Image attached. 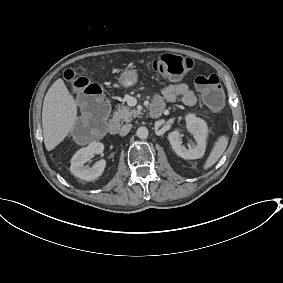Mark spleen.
I'll return each instance as SVG.
<instances>
[{"mask_svg": "<svg viewBox=\"0 0 283 283\" xmlns=\"http://www.w3.org/2000/svg\"><path fill=\"white\" fill-rule=\"evenodd\" d=\"M228 145V138L226 136H221L218 138V140L215 142L214 147L209 155V157L206 160V163L204 165V169L210 168L212 165H214L220 156L224 153Z\"/></svg>", "mask_w": 283, "mask_h": 283, "instance_id": "obj_1", "label": "spleen"}]
</instances>
